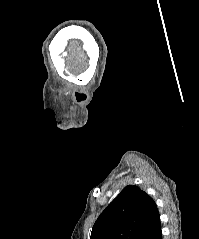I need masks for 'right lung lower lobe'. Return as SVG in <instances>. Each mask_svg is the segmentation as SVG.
Returning a JSON list of instances; mask_svg holds the SVG:
<instances>
[{
  "label": "right lung lower lobe",
  "instance_id": "obj_1",
  "mask_svg": "<svg viewBox=\"0 0 199 239\" xmlns=\"http://www.w3.org/2000/svg\"><path fill=\"white\" fill-rule=\"evenodd\" d=\"M141 239H162L160 220Z\"/></svg>",
  "mask_w": 199,
  "mask_h": 239
}]
</instances>
